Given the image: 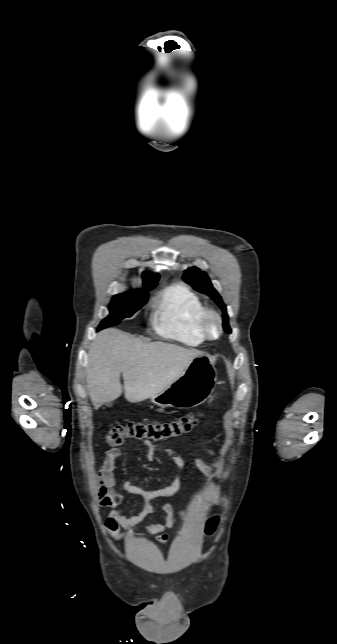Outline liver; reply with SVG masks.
<instances>
[{"label": "liver", "mask_w": 337, "mask_h": 644, "mask_svg": "<svg viewBox=\"0 0 337 644\" xmlns=\"http://www.w3.org/2000/svg\"><path fill=\"white\" fill-rule=\"evenodd\" d=\"M202 352L165 342L144 343L128 333L109 328L98 333L88 352L86 384L97 410L122 393L131 403L160 393L181 375Z\"/></svg>", "instance_id": "liver-1"}]
</instances>
